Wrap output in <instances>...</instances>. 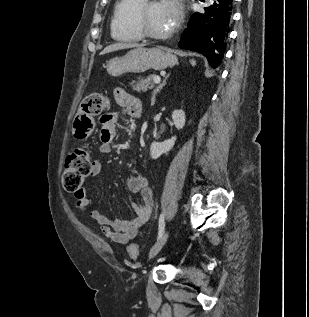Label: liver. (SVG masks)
Instances as JSON below:
<instances>
[{
  "instance_id": "obj_1",
  "label": "liver",
  "mask_w": 309,
  "mask_h": 317,
  "mask_svg": "<svg viewBox=\"0 0 309 317\" xmlns=\"http://www.w3.org/2000/svg\"><path fill=\"white\" fill-rule=\"evenodd\" d=\"M143 44H136V43H114L109 46H107L100 55H104L107 53H111L114 51L122 50V49H128V48H137V47H143Z\"/></svg>"
}]
</instances>
